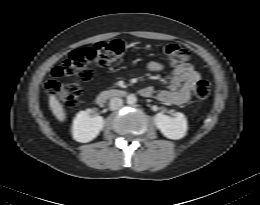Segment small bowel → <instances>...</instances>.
Masks as SVG:
<instances>
[{
  "label": "small bowel",
  "instance_id": "obj_1",
  "mask_svg": "<svg viewBox=\"0 0 260 205\" xmlns=\"http://www.w3.org/2000/svg\"><path fill=\"white\" fill-rule=\"evenodd\" d=\"M164 68V65L158 61H151L148 64L151 72H162ZM200 79V74L190 63H182L174 68L165 89L154 92L152 87H144L140 90V94L144 97L155 95L157 100L164 104L179 106L190 100L192 90Z\"/></svg>",
  "mask_w": 260,
  "mask_h": 205
}]
</instances>
